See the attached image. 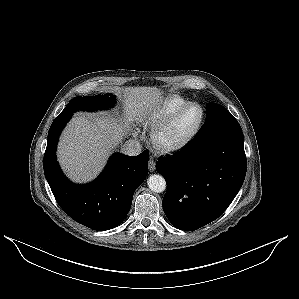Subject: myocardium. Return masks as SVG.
Masks as SVG:
<instances>
[{"label":"myocardium","instance_id":"f54148a6","mask_svg":"<svg viewBox=\"0 0 299 299\" xmlns=\"http://www.w3.org/2000/svg\"><path fill=\"white\" fill-rule=\"evenodd\" d=\"M190 106H197L201 110V118H200V121H199L198 125L196 126V128L182 142L175 144V145H171V146L162 145L159 141L160 135L174 123V121L177 119V117L184 110H186ZM205 117H206L205 109L200 103L187 102L186 104L179 107L176 111H174L166 119H164L163 121H161L159 124L155 125L152 128V130L150 132L151 146L153 147L154 150H156L157 152H159L161 154H174V153L184 150L195 140V138L200 133V131L203 127V124L205 122Z\"/></svg>","mask_w":299,"mask_h":299}]
</instances>
